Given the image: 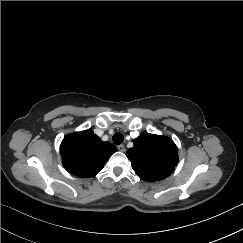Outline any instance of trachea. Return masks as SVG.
<instances>
[{
  "instance_id": "1",
  "label": "trachea",
  "mask_w": 243,
  "mask_h": 243,
  "mask_svg": "<svg viewBox=\"0 0 243 243\" xmlns=\"http://www.w3.org/2000/svg\"><path fill=\"white\" fill-rule=\"evenodd\" d=\"M113 139V142L116 144V145H119L121 144L123 141H124V136L123 134L121 133H115L112 137Z\"/></svg>"
}]
</instances>
